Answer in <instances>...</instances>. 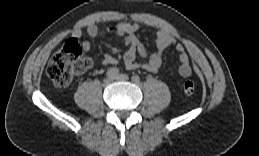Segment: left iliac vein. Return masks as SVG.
Segmentation results:
<instances>
[{
  "label": "left iliac vein",
  "instance_id": "1",
  "mask_svg": "<svg viewBox=\"0 0 259 156\" xmlns=\"http://www.w3.org/2000/svg\"><path fill=\"white\" fill-rule=\"evenodd\" d=\"M116 80H123V81H127L128 80V76L125 74H119L116 76L115 78Z\"/></svg>",
  "mask_w": 259,
  "mask_h": 156
}]
</instances>
